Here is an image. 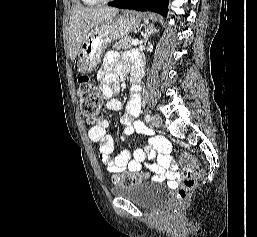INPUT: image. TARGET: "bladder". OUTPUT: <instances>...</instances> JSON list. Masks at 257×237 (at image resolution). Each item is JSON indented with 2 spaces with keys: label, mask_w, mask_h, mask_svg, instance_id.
<instances>
[{
  "label": "bladder",
  "mask_w": 257,
  "mask_h": 237,
  "mask_svg": "<svg viewBox=\"0 0 257 237\" xmlns=\"http://www.w3.org/2000/svg\"><path fill=\"white\" fill-rule=\"evenodd\" d=\"M115 197L125 198L149 210H155L168 202V190L154 181H139L130 185L116 186L111 189Z\"/></svg>",
  "instance_id": "obj_1"
}]
</instances>
